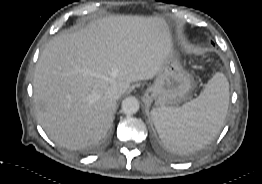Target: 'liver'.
<instances>
[{
	"label": "liver",
	"mask_w": 262,
	"mask_h": 184,
	"mask_svg": "<svg viewBox=\"0 0 262 184\" xmlns=\"http://www.w3.org/2000/svg\"><path fill=\"white\" fill-rule=\"evenodd\" d=\"M160 17L111 15L51 39L36 64L33 88L38 122L55 143L80 149L105 137L116 101L131 82L154 78L172 57Z\"/></svg>",
	"instance_id": "obj_1"
}]
</instances>
